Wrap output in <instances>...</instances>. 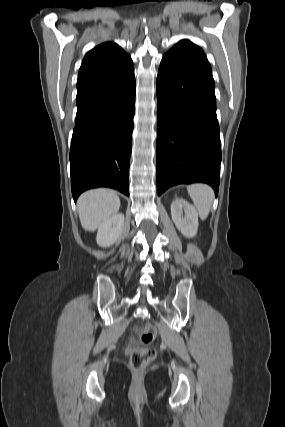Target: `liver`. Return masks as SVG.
<instances>
[{
	"label": "liver",
	"mask_w": 285,
	"mask_h": 427,
	"mask_svg": "<svg viewBox=\"0 0 285 427\" xmlns=\"http://www.w3.org/2000/svg\"><path fill=\"white\" fill-rule=\"evenodd\" d=\"M77 207L82 227L93 232L104 221L117 214L120 199L111 190L95 189L83 193L78 199Z\"/></svg>",
	"instance_id": "obj_1"
}]
</instances>
